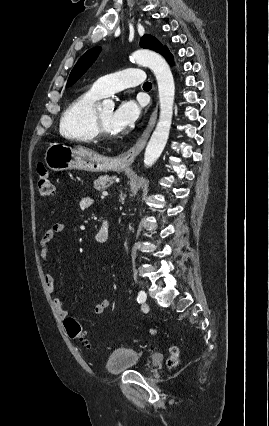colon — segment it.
<instances>
[{
    "label": "colon",
    "instance_id": "1",
    "mask_svg": "<svg viewBox=\"0 0 269 426\" xmlns=\"http://www.w3.org/2000/svg\"><path fill=\"white\" fill-rule=\"evenodd\" d=\"M37 187L42 196H51L54 193V185L49 171L46 165L42 162H40L37 166ZM65 328L71 339L79 341L87 348L92 347V343L85 337L79 322L75 318L67 317L65 319ZM170 352L171 358L168 365L170 367H175L179 362V351L176 347H172Z\"/></svg>",
    "mask_w": 269,
    "mask_h": 426
}]
</instances>
